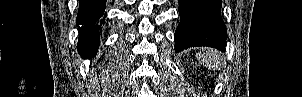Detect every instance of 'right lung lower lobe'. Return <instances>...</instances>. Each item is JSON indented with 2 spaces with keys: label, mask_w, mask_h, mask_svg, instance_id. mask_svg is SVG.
<instances>
[{
  "label": "right lung lower lobe",
  "mask_w": 302,
  "mask_h": 97,
  "mask_svg": "<svg viewBox=\"0 0 302 97\" xmlns=\"http://www.w3.org/2000/svg\"><path fill=\"white\" fill-rule=\"evenodd\" d=\"M107 0H79L76 23L80 36L77 49L83 58H92L99 46L100 24H104Z\"/></svg>",
  "instance_id": "1"
}]
</instances>
